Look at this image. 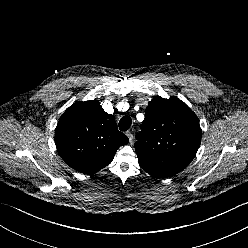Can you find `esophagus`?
<instances>
[{"instance_id": "esophagus-1", "label": "esophagus", "mask_w": 248, "mask_h": 248, "mask_svg": "<svg viewBox=\"0 0 248 248\" xmlns=\"http://www.w3.org/2000/svg\"><path fill=\"white\" fill-rule=\"evenodd\" d=\"M126 136L128 137L129 142L131 143L132 140H133V134H132L130 131H127V132H126Z\"/></svg>"}]
</instances>
